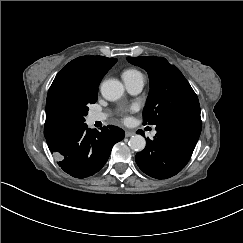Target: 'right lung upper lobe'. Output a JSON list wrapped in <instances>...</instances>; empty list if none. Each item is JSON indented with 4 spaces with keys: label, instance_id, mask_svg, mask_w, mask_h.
Here are the masks:
<instances>
[{
    "label": "right lung upper lobe",
    "instance_id": "1",
    "mask_svg": "<svg viewBox=\"0 0 243 243\" xmlns=\"http://www.w3.org/2000/svg\"><path fill=\"white\" fill-rule=\"evenodd\" d=\"M116 62L117 59L104 56H82L62 68L47 94L44 135L59 127L53 117V106L57 98L73 90H98L101 79Z\"/></svg>",
    "mask_w": 243,
    "mask_h": 243
}]
</instances>
